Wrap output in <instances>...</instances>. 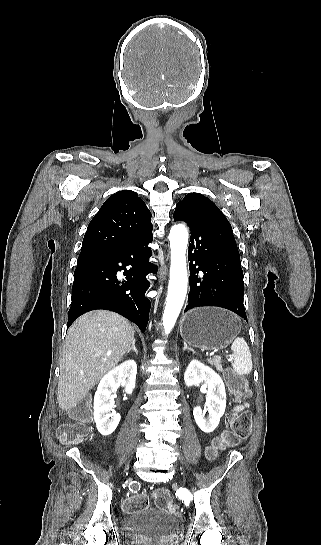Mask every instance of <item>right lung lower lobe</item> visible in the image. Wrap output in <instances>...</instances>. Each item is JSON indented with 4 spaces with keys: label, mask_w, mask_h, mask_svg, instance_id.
<instances>
[{
    "label": "right lung lower lobe",
    "mask_w": 321,
    "mask_h": 545,
    "mask_svg": "<svg viewBox=\"0 0 321 545\" xmlns=\"http://www.w3.org/2000/svg\"><path fill=\"white\" fill-rule=\"evenodd\" d=\"M152 240L151 234L119 251L78 260L68 327L88 311L106 309L121 314L145 332L150 310V301L145 297L150 286L146 275L157 271V266L149 263L152 253L148 244ZM121 270L126 276L122 282L116 276Z\"/></svg>",
    "instance_id": "98d812e1"
}]
</instances>
